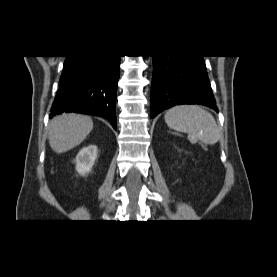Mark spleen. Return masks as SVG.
Segmentation results:
<instances>
[{
  "label": "spleen",
  "instance_id": "obj_1",
  "mask_svg": "<svg viewBox=\"0 0 277 277\" xmlns=\"http://www.w3.org/2000/svg\"><path fill=\"white\" fill-rule=\"evenodd\" d=\"M166 124L179 132L188 133L192 142L215 144L220 132L214 117L199 106H176L165 113Z\"/></svg>",
  "mask_w": 277,
  "mask_h": 277
}]
</instances>
